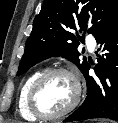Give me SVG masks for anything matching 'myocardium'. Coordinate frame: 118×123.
Here are the masks:
<instances>
[{
	"instance_id": "myocardium-1",
	"label": "myocardium",
	"mask_w": 118,
	"mask_h": 123,
	"mask_svg": "<svg viewBox=\"0 0 118 123\" xmlns=\"http://www.w3.org/2000/svg\"><path fill=\"white\" fill-rule=\"evenodd\" d=\"M55 74H65L69 76L74 83L75 92H74L73 100L64 110L56 114H48V113L43 112L39 108L37 104V94L42 84L50 76L55 75ZM81 95H82V85H81V81L77 73L74 70L67 68V67H54V68H50L42 72L37 77V79L33 82L29 90V93H28V107H29V110L39 119L57 120V119L63 118L64 116H66L67 114H69L71 111H73L76 108V106L79 104L81 100Z\"/></svg>"
}]
</instances>
